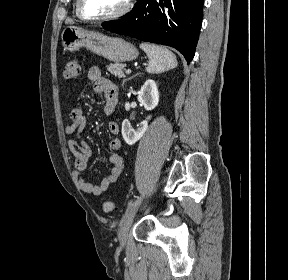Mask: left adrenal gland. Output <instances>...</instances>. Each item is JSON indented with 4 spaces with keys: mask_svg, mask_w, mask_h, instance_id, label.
I'll return each instance as SVG.
<instances>
[{
    "mask_svg": "<svg viewBox=\"0 0 288 280\" xmlns=\"http://www.w3.org/2000/svg\"><path fill=\"white\" fill-rule=\"evenodd\" d=\"M137 75H139V73L136 74V75H134V76H132V77H129L128 79H125V80L123 81V84H122V85L124 86V84H125L126 81L131 80L132 78H134V77L137 76Z\"/></svg>",
    "mask_w": 288,
    "mask_h": 280,
    "instance_id": "left-adrenal-gland-1",
    "label": "left adrenal gland"
}]
</instances>
